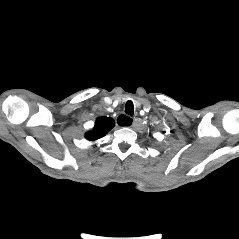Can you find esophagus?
Listing matches in <instances>:
<instances>
[{
  "mask_svg": "<svg viewBox=\"0 0 239 239\" xmlns=\"http://www.w3.org/2000/svg\"><path fill=\"white\" fill-rule=\"evenodd\" d=\"M136 122H137V119H134V118H129L125 115H119L118 118H117V123L120 125V126H127V127H134L136 125Z\"/></svg>",
  "mask_w": 239,
  "mask_h": 239,
  "instance_id": "1",
  "label": "esophagus"
}]
</instances>
